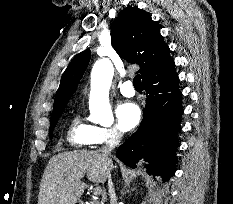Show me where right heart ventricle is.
<instances>
[{"instance_id": "right-heart-ventricle-1", "label": "right heart ventricle", "mask_w": 233, "mask_h": 204, "mask_svg": "<svg viewBox=\"0 0 233 204\" xmlns=\"http://www.w3.org/2000/svg\"><path fill=\"white\" fill-rule=\"evenodd\" d=\"M94 126L76 114L69 126L67 139L75 147H84L91 145L92 133Z\"/></svg>"}]
</instances>
